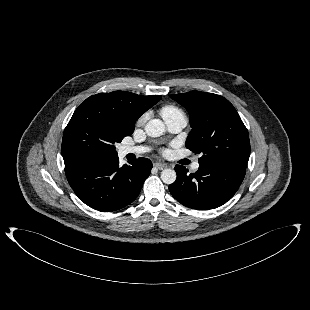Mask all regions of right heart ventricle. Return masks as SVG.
<instances>
[{"label": "right heart ventricle", "mask_w": 310, "mask_h": 310, "mask_svg": "<svg viewBox=\"0 0 310 310\" xmlns=\"http://www.w3.org/2000/svg\"><path fill=\"white\" fill-rule=\"evenodd\" d=\"M160 115L166 121L173 117H184V112L175 105H164L159 110Z\"/></svg>", "instance_id": "e07e8e85"}]
</instances>
